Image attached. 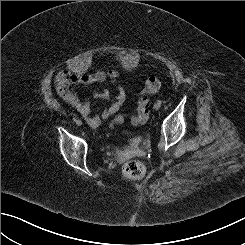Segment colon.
<instances>
[{"label": "colon", "mask_w": 245, "mask_h": 245, "mask_svg": "<svg viewBox=\"0 0 245 245\" xmlns=\"http://www.w3.org/2000/svg\"><path fill=\"white\" fill-rule=\"evenodd\" d=\"M162 88V81L157 77L147 79L145 86L137 100V113L132 117V122L135 124L144 123L149 118V96L157 93ZM145 166L138 160H131L124 164L122 173L124 177L130 180H140L145 175Z\"/></svg>", "instance_id": "5ec220e1"}]
</instances>
